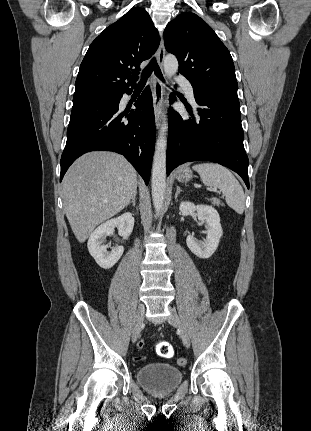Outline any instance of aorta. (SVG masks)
I'll return each instance as SVG.
<instances>
[{
    "mask_svg": "<svg viewBox=\"0 0 311 431\" xmlns=\"http://www.w3.org/2000/svg\"><path fill=\"white\" fill-rule=\"evenodd\" d=\"M178 70V60L172 54H168L164 60V72L167 78L174 76ZM163 122L158 132L155 144L152 166V202L156 214L163 208L166 192V150H167V118L163 116Z\"/></svg>",
    "mask_w": 311,
    "mask_h": 431,
    "instance_id": "1",
    "label": "aorta"
}]
</instances>
